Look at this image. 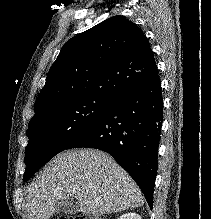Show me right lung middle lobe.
<instances>
[{
    "label": "right lung middle lobe",
    "mask_w": 211,
    "mask_h": 219,
    "mask_svg": "<svg viewBox=\"0 0 211 219\" xmlns=\"http://www.w3.org/2000/svg\"><path fill=\"white\" fill-rule=\"evenodd\" d=\"M112 102L100 97L74 99L58 105L47 114L31 119L24 181L89 129Z\"/></svg>",
    "instance_id": "obj_1"
}]
</instances>
